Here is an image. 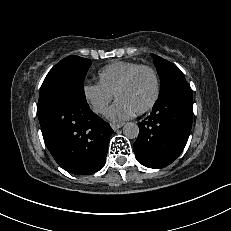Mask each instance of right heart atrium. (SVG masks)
Wrapping results in <instances>:
<instances>
[{
  "mask_svg": "<svg viewBox=\"0 0 231 231\" xmlns=\"http://www.w3.org/2000/svg\"><path fill=\"white\" fill-rule=\"evenodd\" d=\"M83 95L97 114H104L114 98V93L99 82H87L83 86Z\"/></svg>",
  "mask_w": 231,
  "mask_h": 231,
  "instance_id": "obj_1",
  "label": "right heart atrium"
}]
</instances>
